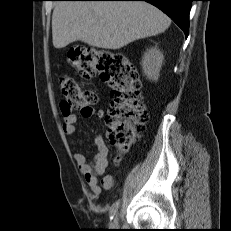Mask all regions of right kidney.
Masks as SVG:
<instances>
[{"label": "right kidney", "mask_w": 231, "mask_h": 231, "mask_svg": "<svg viewBox=\"0 0 231 231\" xmlns=\"http://www.w3.org/2000/svg\"><path fill=\"white\" fill-rule=\"evenodd\" d=\"M164 61L162 52L155 46L147 49L142 57L143 73L149 80H157Z\"/></svg>", "instance_id": "right-kidney-1"}]
</instances>
